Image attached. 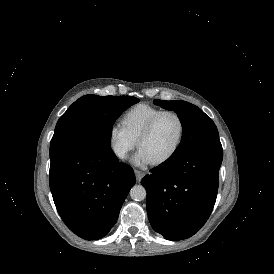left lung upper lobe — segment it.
<instances>
[{"label": "left lung upper lobe", "mask_w": 274, "mask_h": 274, "mask_svg": "<svg viewBox=\"0 0 274 274\" xmlns=\"http://www.w3.org/2000/svg\"><path fill=\"white\" fill-rule=\"evenodd\" d=\"M153 103L177 113L183 127L181 143L170 158H178L200 147L221 145L216 125L197 106L181 100L157 99Z\"/></svg>", "instance_id": "1"}]
</instances>
